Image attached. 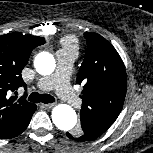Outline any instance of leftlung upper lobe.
<instances>
[{
    "label": "left lung upper lobe",
    "instance_id": "left-lung-upper-lobe-1",
    "mask_svg": "<svg viewBox=\"0 0 153 153\" xmlns=\"http://www.w3.org/2000/svg\"><path fill=\"white\" fill-rule=\"evenodd\" d=\"M87 49L77 74L83 85L82 134L95 139L116 120L124 103L127 77L121 57L102 36L86 32Z\"/></svg>",
    "mask_w": 153,
    "mask_h": 153
}]
</instances>
